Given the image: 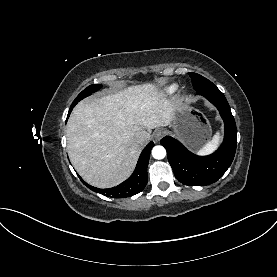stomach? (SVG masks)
Segmentation results:
<instances>
[{"instance_id": "obj_1", "label": "stomach", "mask_w": 277, "mask_h": 277, "mask_svg": "<svg viewBox=\"0 0 277 277\" xmlns=\"http://www.w3.org/2000/svg\"><path fill=\"white\" fill-rule=\"evenodd\" d=\"M172 133L190 150H200L209 140L212 129L205 115L198 109L177 101L173 109Z\"/></svg>"}]
</instances>
